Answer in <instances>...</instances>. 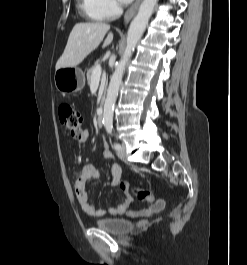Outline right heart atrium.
Wrapping results in <instances>:
<instances>
[{
  "mask_svg": "<svg viewBox=\"0 0 247 265\" xmlns=\"http://www.w3.org/2000/svg\"><path fill=\"white\" fill-rule=\"evenodd\" d=\"M88 9L94 15L102 19H110L120 12V6L117 0H87Z\"/></svg>",
  "mask_w": 247,
  "mask_h": 265,
  "instance_id": "right-heart-atrium-1",
  "label": "right heart atrium"
}]
</instances>
